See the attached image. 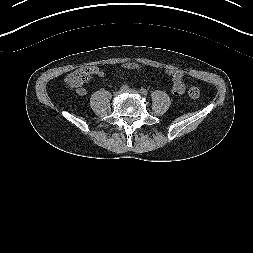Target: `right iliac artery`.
<instances>
[{"label": "right iliac artery", "instance_id": "right-iliac-artery-1", "mask_svg": "<svg viewBox=\"0 0 253 253\" xmlns=\"http://www.w3.org/2000/svg\"><path fill=\"white\" fill-rule=\"evenodd\" d=\"M127 89H128V85H122L120 88L121 92L126 91Z\"/></svg>", "mask_w": 253, "mask_h": 253}]
</instances>
